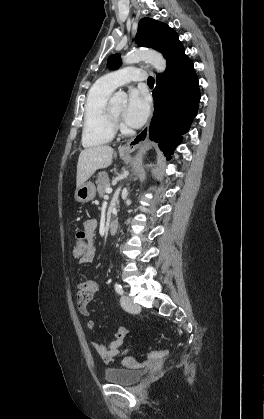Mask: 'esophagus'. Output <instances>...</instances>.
<instances>
[{
  "mask_svg": "<svg viewBox=\"0 0 264 419\" xmlns=\"http://www.w3.org/2000/svg\"><path fill=\"white\" fill-rule=\"evenodd\" d=\"M149 133V123L142 129V131L137 134L134 138L127 141L125 144L119 147V153L123 155H128L135 151L142 143H144L148 138Z\"/></svg>",
  "mask_w": 264,
  "mask_h": 419,
  "instance_id": "34e87169",
  "label": "esophagus"
}]
</instances>
